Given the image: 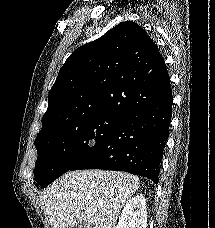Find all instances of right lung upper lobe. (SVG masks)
Segmentation results:
<instances>
[{
	"label": "right lung upper lobe",
	"mask_w": 215,
	"mask_h": 228,
	"mask_svg": "<svg viewBox=\"0 0 215 228\" xmlns=\"http://www.w3.org/2000/svg\"><path fill=\"white\" fill-rule=\"evenodd\" d=\"M167 77L158 47L144 29L122 22L66 60L49 93L41 131L101 114L124 117L165 96Z\"/></svg>",
	"instance_id": "cb5924a9"
}]
</instances>
